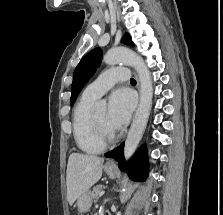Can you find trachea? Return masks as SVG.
<instances>
[{"label": "trachea", "mask_w": 223, "mask_h": 215, "mask_svg": "<svg viewBox=\"0 0 223 215\" xmlns=\"http://www.w3.org/2000/svg\"><path fill=\"white\" fill-rule=\"evenodd\" d=\"M130 83H136V80H134V78H131Z\"/></svg>", "instance_id": "obj_1"}]
</instances>
